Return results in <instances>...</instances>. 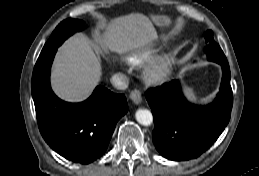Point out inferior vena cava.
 Instances as JSON below:
<instances>
[{"label":"inferior vena cava","instance_id":"inferior-vena-cava-1","mask_svg":"<svg viewBox=\"0 0 259 176\" xmlns=\"http://www.w3.org/2000/svg\"><path fill=\"white\" fill-rule=\"evenodd\" d=\"M112 85L119 90H125L128 87L129 79L124 74H115L111 78Z\"/></svg>","mask_w":259,"mask_h":176}]
</instances>
